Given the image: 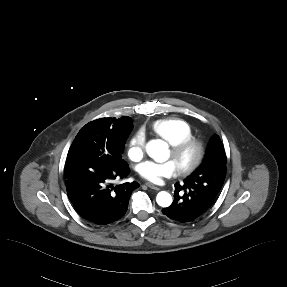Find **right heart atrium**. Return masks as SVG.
<instances>
[{
  "mask_svg": "<svg viewBox=\"0 0 287 287\" xmlns=\"http://www.w3.org/2000/svg\"><path fill=\"white\" fill-rule=\"evenodd\" d=\"M146 140L141 130L137 131L129 140L127 154L133 161L142 159L145 153Z\"/></svg>",
  "mask_w": 287,
  "mask_h": 287,
  "instance_id": "obj_1",
  "label": "right heart atrium"
}]
</instances>
